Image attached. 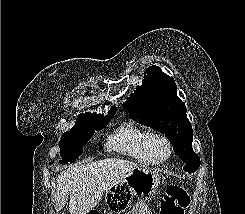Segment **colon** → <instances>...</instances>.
I'll list each match as a JSON object with an SVG mask.
<instances>
[{
    "instance_id": "5ec220e1",
    "label": "colon",
    "mask_w": 245,
    "mask_h": 214,
    "mask_svg": "<svg viewBox=\"0 0 245 214\" xmlns=\"http://www.w3.org/2000/svg\"><path fill=\"white\" fill-rule=\"evenodd\" d=\"M189 202L190 199L183 188L172 187L161 201L160 214H183ZM139 214H156V212L147 208H141Z\"/></svg>"
}]
</instances>
